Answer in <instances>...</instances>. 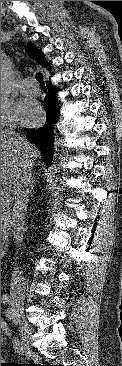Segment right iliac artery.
Segmentation results:
<instances>
[{"mask_svg": "<svg viewBox=\"0 0 122 366\" xmlns=\"http://www.w3.org/2000/svg\"><path fill=\"white\" fill-rule=\"evenodd\" d=\"M1 302L3 304H8L10 302V297L7 294L3 295L1 298Z\"/></svg>", "mask_w": 122, "mask_h": 366, "instance_id": "1", "label": "right iliac artery"}]
</instances>
